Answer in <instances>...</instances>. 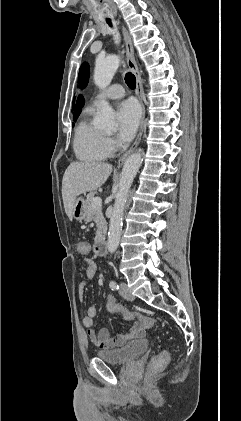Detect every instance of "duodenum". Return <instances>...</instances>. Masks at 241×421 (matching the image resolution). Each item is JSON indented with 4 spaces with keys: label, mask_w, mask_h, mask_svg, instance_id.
Wrapping results in <instances>:
<instances>
[{
    "label": "duodenum",
    "mask_w": 241,
    "mask_h": 421,
    "mask_svg": "<svg viewBox=\"0 0 241 421\" xmlns=\"http://www.w3.org/2000/svg\"><path fill=\"white\" fill-rule=\"evenodd\" d=\"M106 249H107L106 238L105 237L99 238L97 242L95 243L94 251L98 255H103L106 253Z\"/></svg>",
    "instance_id": "obj_1"
}]
</instances>
